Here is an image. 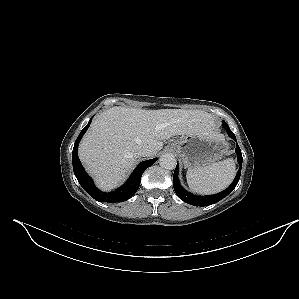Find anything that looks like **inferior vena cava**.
Returning a JSON list of instances; mask_svg holds the SVG:
<instances>
[{
    "mask_svg": "<svg viewBox=\"0 0 299 299\" xmlns=\"http://www.w3.org/2000/svg\"><path fill=\"white\" fill-rule=\"evenodd\" d=\"M150 153H151V150H150V149H148V148H142V149H140V150L136 153V155H137V156H149Z\"/></svg>",
    "mask_w": 299,
    "mask_h": 299,
    "instance_id": "602c4592",
    "label": "inferior vena cava"
}]
</instances>
